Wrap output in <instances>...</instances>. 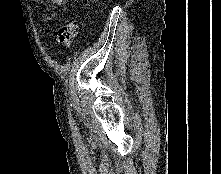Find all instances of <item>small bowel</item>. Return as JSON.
<instances>
[{
  "label": "small bowel",
  "instance_id": "1",
  "mask_svg": "<svg viewBox=\"0 0 221 174\" xmlns=\"http://www.w3.org/2000/svg\"><path fill=\"white\" fill-rule=\"evenodd\" d=\"M37 1V0H34ZM54 5H63L65 3V0H49ZM52 14H48V18H51Z\"/></svg>",
  "mask_w": 221,
  "mask_h": 174
}]
</instances>
